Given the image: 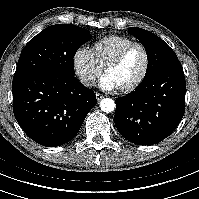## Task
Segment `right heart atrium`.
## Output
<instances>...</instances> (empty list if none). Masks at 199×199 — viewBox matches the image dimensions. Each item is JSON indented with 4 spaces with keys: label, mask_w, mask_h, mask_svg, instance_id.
<instances>
[{
    "label": "right heart atrium",
    "mask_w": 199,
    "mask_h": 199,
    "mask_svg": "<svg viewBox=\"0 0 199 199\" xmlns=\"http://www.w3.org/2000/svg\"><path fill=\"white\" fill-rule=\"evenodd\" d=\"M72 67L79 81L87 87L93 86L101 74V69L94 62L91 53L83 47L74 52Z\"/></svg>",
    "instance_id": "1"
}]
</instances>
